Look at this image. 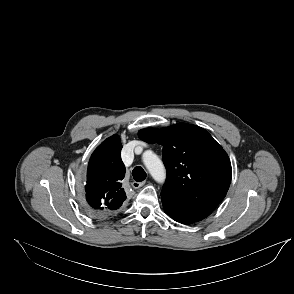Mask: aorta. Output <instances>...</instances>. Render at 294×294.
<instances>
[{
    "label": "aorta",
    "mask_w": 294,
    "mask_h": 294,
    "mask_svg": "<svg viewBox=\"0 0 294 294\" xmlns=\"http://www.w3.org/2000/svg\"><path fill=\"white\" fill-rule=\"evenodd\" d=\"M143 162L148 169L151 176L157 182H163L166 177V172L162 161L159 157L151 151H147L143 154Z\"/></svg>",
    "instance_id": "762f6f07"
}]
</instances>
